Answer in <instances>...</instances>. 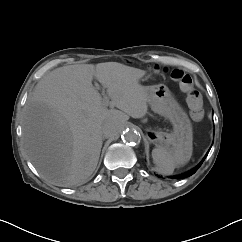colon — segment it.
Masks as SVG:
<instances>
[{
	"mask_svg": "<svg viewBox=\"0 0 242 242\" xmlns=\"http://www.w3.org/2000/svg\"><path fill=\"white\" fill-rule=\"evenodd\" d=\"M153 69L156 71H167L157 65ZM169 75L172 80L179 83L181 90L186 93V101L191 118L195 121L201 120L203 117L204 101L201 93L195 88L193 77L181 69H173L169 71Z\"/></svg>",
	"mask_w": 242,
	"mask_h": 242,
	"instance_id": "1",
	"label": "colon"
}]
</instances>
